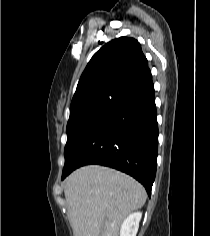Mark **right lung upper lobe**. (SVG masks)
<instances>
[{"label": "right lung upper lobe", "instance_id": "1", "mask_svg": "<svg viewBox=\"0 0 210 236\" xmlns=\"http://www.w3.org/2000/svg\"><path fill=\"white\" fill-rule=\"evenodd\" d=\"M150 77L140 43L129 37L116 38L98 50L87 64L70 108L114 89L130 91Z\"/></svg>", "mask_w": 210, "mask_h": 236}]
</instances>
